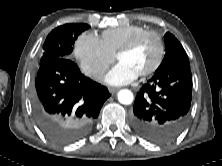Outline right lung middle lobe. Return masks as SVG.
Returning a JSON list of instances; mask_svg holds the SVG:
<instances>
[{
    "label": "right lung middle lobe",
    "mask_w": 222,
    "mask_h": 166,
    "mask_svg": "<svg viewBox=\"0 0 222 166\" xmlns=\"http://www.w3.org/2000/svg\"><path fill=\"white\" fill-rule=\"evenodd\" d=\"M90 26L84 23H71L59 26L51 31L43 45V55L39 65L52 60L68 58L73 51L75 40L83 31Z\"/></svg>",
    "instance_id": "1"
}]
</instances>
